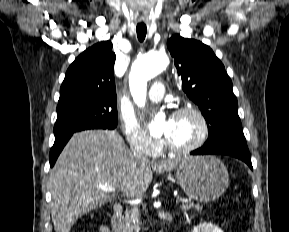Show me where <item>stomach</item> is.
<instances>
[{
	"label": "stomach",
	"mask_w": 289,
	"mask_h": 232,
	"mask_svg": "<svg viewBox=\"0 0 289 232\" xmlns=\"http://www.w3.org/2000/svg\"><path fill=\"white\" fill-rule=\"evenodd\" d=\"M176 177L184 193L193 199L210 202L220 197L229 185L225 165L214 156L182 159Z\"/></svg>",
	"instance_id": "obj_1"
}]
</instances>
